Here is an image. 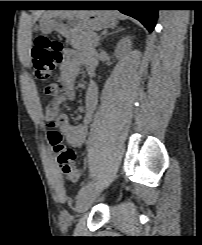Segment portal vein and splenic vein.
<instances>
[{"mask_svg":"<svg viewBox=\"0 0 202 245\" xmlns=\"http://www.w3.org/2000/svg\"><path fill=\"white\" fill-rule=\"evenodd\" d=\"M95 42H96V43H98V42H99V38H98V37H96Z\"/></svg>","mask_w":202,"mask_h":245,"instance_id":"1","label":"portal vein and splenic vein"}]
</instances>
